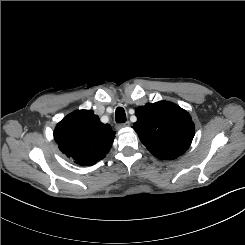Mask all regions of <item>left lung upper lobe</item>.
I'll list each match as a JSON object with an SVG mask.
<instances>
[{"label":"left lung upper lobe","instance_id":"5c2ea615","mask_svg":"<svg viewBox=\"0 0 245 245\" xmlns=\"http://www.w3.org/2000/svg\"><path fill=\"white\" fill-rule=\"evenodd\" d=\"M133 129L140 141L157 158L171 160L182 155L194 137V124L187 111L160 101L136 109Z\"/></svg>","mask_w":245,"mask_h":245}]
</instances>
